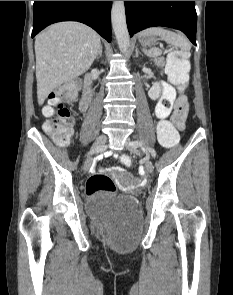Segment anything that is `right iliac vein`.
I'll use <instances>...</instances> for the list:
<instances>
[{
  "mask_svg": "<svg viewBox=\"0 0 233 295\" xmlns=\"http://www.w3.org/2000/svg\"><path fill=\"white\" fill-rule=\"evenodd\" d=\"M106 140H107V137L104 134L100 135L97 138L93 147L90 150L89 156L85 160L84 167H83L84 171H87L90 168L93 161L94 154L100 153L105 150Z\"/></svg>",
  "mask_w": 233,
  "mask_h": 295,
  "instance_id": "63e3f726",
  "label": "right iliac vein"
}]
</instances>
